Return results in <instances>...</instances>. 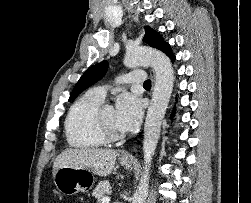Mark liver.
<instances>
[{"mask_svg":"<svg viewBox=\"0 0 251 203\" xmlns=\"http://www.w3.org/2000/svg\"><path fill=\"white\" fill-rule=\"evenodd\" d=\"M117 152L108 149H73L67 148L62 151L54 161L53 164V177L58 169L62 167L83 168L94 175L108 176L111 174Z\"/></svg>","mask_w":251,"mask_h":203,"instance_id":"1","label":"liver"}]
</instances>
